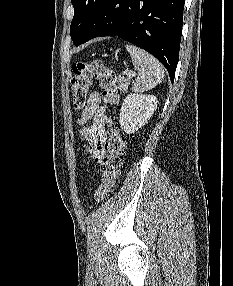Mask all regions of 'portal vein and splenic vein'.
Here are the masks:
<instances>
[{
    "instance_id": "18ae733b",
    "label": "portal vein and splenic vein",
    "mask_w": 233,
    "mask_h": 286,
    "mask_svg": "<svg viewBox=\"0 0 233 286\" xmlns=\"http://www.w3.org/2000/svg\"><path fill=\"white\" fill-rule=\"evenodd\" d=\"M125 74L129 77V78H132L134 75L130 72H125Z\"/></svg>"
}]
</instances>
